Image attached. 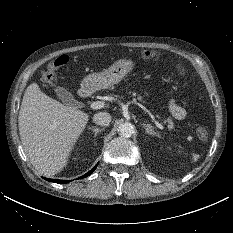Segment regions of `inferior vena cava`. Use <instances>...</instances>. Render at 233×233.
<instances>
[{
	"instance_id": "1",
	"label": "inferior vena cava",
	"mask_w": 233,
	"mask_h": 233,
	"mask_svg": "<svg viewBox=\"0 0 233 233\" xmlns=\"http://www.w3.org/2000/svg\"><path fill=\"white\" fill-rule=\"evenodd\" d=\"M93 121L97 125L108 126L111 122V115L107 112H99L94 115Z\"/></svg>"
}]
</instances>
